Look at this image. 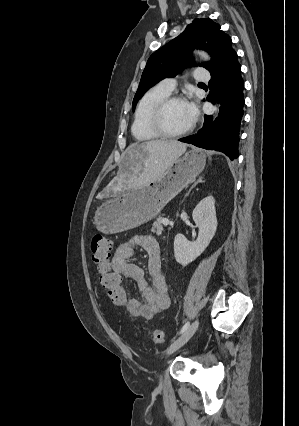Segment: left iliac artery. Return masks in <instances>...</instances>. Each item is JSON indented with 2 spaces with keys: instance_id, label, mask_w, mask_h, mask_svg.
Masks as SVG:
<instances>
[{
  "instance_id": "left-iliac-artery-1",
  "label": "left iliac artery",
  "mask_w": 299,
  "mask_h": 426,
  "mask_svg": "<svg viewBox=\"0 0 299 426\" xmlns=\"http://www.w3.org/2000/svg\"><path fill=\"white\" fill-rule=\"evenodd\" d=\"M189 325H190V322H189V321H187V322L184 324V326L181 328V330H180L179 334L184 333V332L188 329Z\"/></svg>"
}]
</instances>
